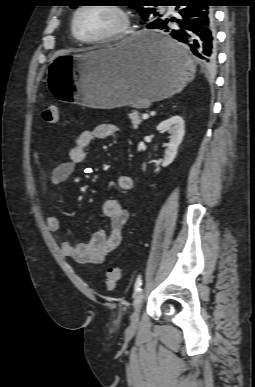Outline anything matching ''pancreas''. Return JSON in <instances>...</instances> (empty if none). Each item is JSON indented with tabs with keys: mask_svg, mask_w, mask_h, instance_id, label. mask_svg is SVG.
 <instances>
[{
	"mask_svg": "<svg viewBox=\"0 0 255 387\" xmlns=\"http://www.w3.org/2000/svg\"><path fill=\"white\" fill-rule=\"evenodd\" d=\"M129 118L131 119L132 127L134 129H137L139 127V125L142 123V120H141V118L139 116V113L136 110H134L132 112V114H130Z\"/></svg>",
	"mask_w": 255,
	"mask_h": 387,
	"instance_id": "1",
	"label": "pancreas"
}]
</instances>
